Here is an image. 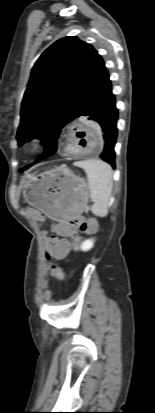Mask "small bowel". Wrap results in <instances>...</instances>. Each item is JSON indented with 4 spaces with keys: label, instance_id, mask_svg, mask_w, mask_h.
Listing matches in <instances>:
<instances>
[{
    "label": "small bowel",
    "instance_id": "obj_1",
    "mask_svg": "<svg viewBox=\"0 0 155 413\" xmlns=\"http://www.w3.org/2000/svg\"><path fill=\"white\" fill-rule=\"evenodd\" d=\"M26 212L28 214H33L35 212V207L33 205H28L26 207ZM35 221L37 223H43L45 221V216L43 214H37L35 216ZM49 227L51 229H53L55 226L53 224H51ZM57 231L61 234H64V235H72L74 233V231L68 229L63 224L57 228Z\"/></svg>",
    "mask_w": 155,
    "mask_h": 413
}]
</instances>
